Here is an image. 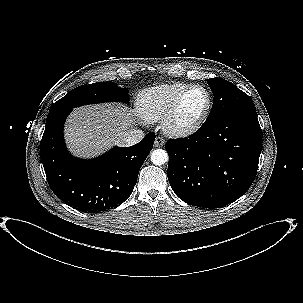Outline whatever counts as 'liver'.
<instances>
[{
    "instance_id": "1",
    "label": "liver",
    "mask_w": 303,
    "mask_h": 303,
    "mask_svg": "<svg viewBox=\"0 0 303 303\" xmlns=\"http://www.w3.org/2000/svg\"><path fill=\"white\" fill-rule=\"evenodd\" d=\"M133 119L127 108L118 104H99L75 109L65 126L66 143L78 156H94L112 145H122V135Z\"/></svg>"
}]
</instances>
